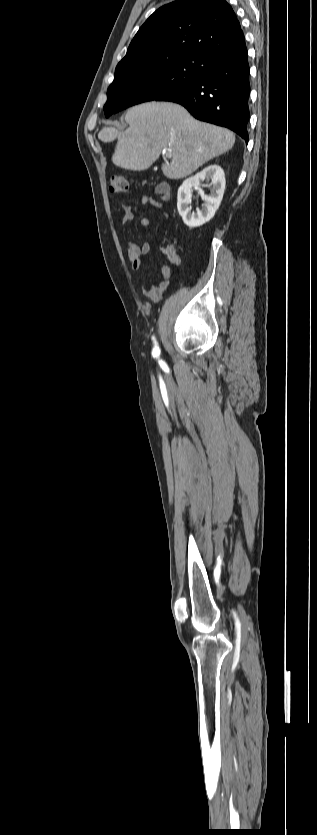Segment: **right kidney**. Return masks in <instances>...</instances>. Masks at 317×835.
Wrapping results in <instances>:
<instances>
[{"mask_svg":"<svg viewBox=\"0 0 317 835\" xmlns=\"http://www.w3.org/2000/svg\"><path fill=\"white\" fill-rule=\"evenodd\" d=\"M204 180H211L210 195H206L201 189V182ZM193 187L201 190V198L203 200L202 209L197 210V213L191 212L192 207L189 205L190 196ZM225 190V174L223 169L217 165L212 164L186 179L178 189L177 194V209L183 222L188 227H198L210 221L215 212L220 206Z\"/></svg>","mask_w":317,"mask_h":835,"instance_id":"obj_1","label":"right kidney"}]
</instances>
